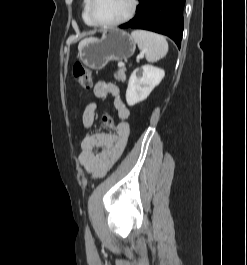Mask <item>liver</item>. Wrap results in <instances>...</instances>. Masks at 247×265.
Here are the masks:
<instances>
[{
	"mask_svg": "<svg viewBox=\"0 0 247 265\" xmlns=\"http://www.w3.org/2000/svg\"><path fill=\"white\" fill-rule=\"evenodd\" d=\"M83 41H85V40H83ZM83 41L80 42L79 46L82 44ZM79 46H78V47H79Z\"/></svg>",
	"mask_w": 247,
	"mask_h": 265,
	"instance_id": "1",
	"label": "liver"
}]
</instances>
